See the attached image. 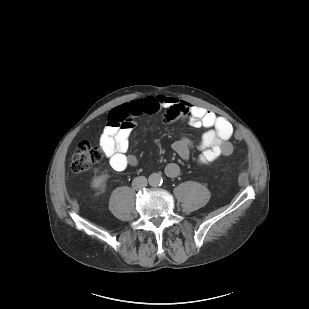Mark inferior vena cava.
I'll return each mask as SVG.
<instances>
[{"label":"inferior vena cava","mask_w":309,"mask_h":309,"mask_svg":"<svg viewBox=\"0 0 309 309\" xmlns=\"http://www.w3.org/2000/svg\"><path fill=\"white\" fill-rule=\"evenodd\" d=\"M147 186V178L145 176H138L133 179L132 187L136 190L142 189Z\"/></svg>","instance_id":"obj_1"}]
</instances>
